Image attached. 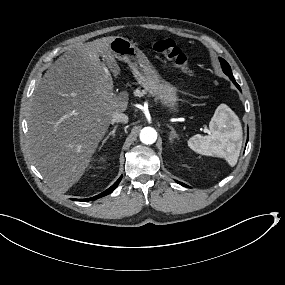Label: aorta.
<instances>
[{
	"label": "aorta",
	"mask_w": 285,
	"mask_h": 285,
	"mask_svg": "<svg viewBox=\"0 0 285 285\" xmlns=\"http://www.w3.org/2000/svg\"><path fill=\"white\" fill-rule=\"evenodd\" d=\"M157 140V132L151 128L146 127L141 130L140 141L146 145H151Z\"/></svg>",
	"instance_id": "762f6f07"
}]
</instances>
